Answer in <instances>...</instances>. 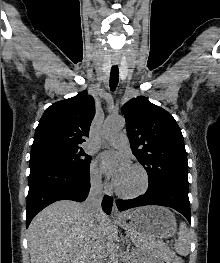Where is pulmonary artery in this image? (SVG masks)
<instances>
[{"label":"pulmonary artery","instance_id":"pulmonary-artery-1","mask_svg":"<svg viewBox=\"0 0 220 263\" xmlns=\"http://www.w3.org/2000/svg\"><path fill=\"white\" fill-rule=\"evenodd\" d=\"M108 144L114 147H124L128 144V138L125 133H119L111 137L108 141Z\"/></svg>","mask_w":220,"mask_h":263}]
</instances>
